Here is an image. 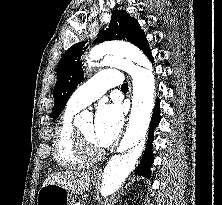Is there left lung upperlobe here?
Returning a JSON list of instances; mask_svg holds the SVG:
<instances>
[{
	"mask_svg": "<svg viewBox=\"0 0 222 205\" xmlns=\"http://www.w3.org/2000/svg\"><path fill=\"white\" fill-rule=\"evenodd\" d=\"M145 39L146 35L137 20L130 17L125 10H114L109 27L106 30H100L93 43L125 40L139 48ZM87 48V41L73 45L66 51L57 65L58 79L54 87L55 104L52 109L54 119L61 114L73 91L83 80L80 57Z\"/></svg>",
	"mask_w": 222,
	"mask_h": 205,
	"instance_id": "left-lung-upper-lobe-1",
	"label": "left lung upper lobe"
}]
</instances>
